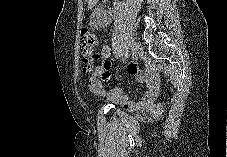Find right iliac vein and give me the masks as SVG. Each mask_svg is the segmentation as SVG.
Wrapping results in <instances>:
<instances>
[{"label": "right iliac vein", "instance_id": "1", "mask_svg": "<svg viewBox=\"0 0 227 157\" xmlns=\"http://www.w3.org/2000/svg\"><path fill=\"white\" fill-rule=\"evenodd\" d=\"M139 50H140V45L138 43L135 42L131 45V52L133 57H135L138 54Z\"/></svg>", "mask_w": 227, "mask_h": 157}]
</instances>
